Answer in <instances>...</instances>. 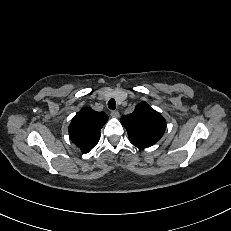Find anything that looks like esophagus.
I'll return each instance as SVG.
<instances>
[{
	"label": "esophagus",
	"mask_w": 231,
	"mask_h": 231,
	"mask_svg": "<svg viewBox=\"0 0 231 231\" xmlns=\"http://www.w3.org/2000/svg\"><path fill=\"white\" fill-rule=\"evenodd\" d=\"M111 117L113 118H118L120 116L119 112L118 111H111L110 113Z\"/></svg>",
	"instance_id": "obj_1"
}]
</instances>
